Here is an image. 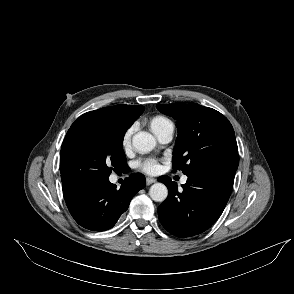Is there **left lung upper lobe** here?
<instances>
[{
	"label": "left lung upper lobe",
	"instance_id": "5c2ea615",
	"mask_svg": "<svg viewBox=\"0 0 294 294\" xmlns=\"http://www.w3.org/2000/svg\"><path fill=\"white\" fill-rule=\"evenodd\" d=\"M156 107L176 120L178 136L172 163L187 176L202 172L224 155L238 152L233 127L220 112L184 102Z\"/></svg>",
	"mask_w": 294,
	"mask_h": 294
}]
</instances>
